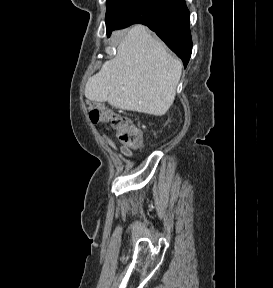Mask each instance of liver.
<instances>
[{
    "mask_svg": "<svg viewBox=\"0 0 273 288\" xmlns=\"http://www.w3.org/2000/svg\"><path fill=\"white\" fill-rule=\"evenodd\" d=\"M182 63L143 25L120 40L116 56L88 79L85 96L93 102L155 116L173 104Z\"/></svg>",
    "mask_w": 273,
    "mask_h": 288,
    "instance_id": "1",
    "label": "liver"
}]
</instances>
